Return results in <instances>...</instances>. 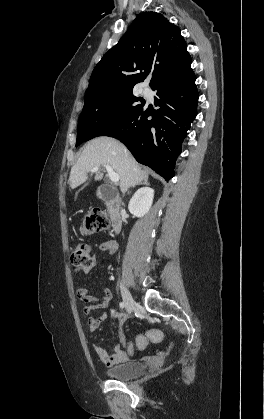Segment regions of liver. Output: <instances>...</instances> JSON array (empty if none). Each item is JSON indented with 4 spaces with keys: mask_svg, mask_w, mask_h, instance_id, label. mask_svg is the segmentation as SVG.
I'll use <instances>...</instances> for the list:
<instances>
[{
    "mask_svg": "<svg viewBox=\"0 0 264 419\" xmlns=\"http://www.w3.org/2000/svg\"><path fill=\"white\" fill-rule=\"evenodd\" d=\"M110 165L119 175V185L122 192L131 186L148 179V173L143 171L126 149V147L110 137H98L86 144L78 161L71 168L69 182L72 189L77 188L88 179V173L95 166ZM103 173L97 171L95 180H101Z\"/></svg>",
    "mask_w": 264,
    "mask_h": 419,
    "instance_id": "1",
    "label": "liver"
}]
</instances>
